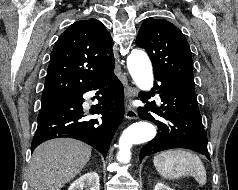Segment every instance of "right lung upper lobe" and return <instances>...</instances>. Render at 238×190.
Wrapping results in <instances>:
<instances>
[{
  "label": "right lung upper lobe",
  "instance_id": "1",
  "mask_svg": "<svg viewBox=\"0 0 238 190\" xmlns=\"http://www.w3.org/2000/svg\"><path fill=\"white\" fill-rule=\"evenodd\" d=\"M113 40L104 25L82 20L57 40L47 69L42 103L67 100L87 85L113 73Z\"/></svg>",
  "mask_w": 238,
  "mask_h": 190
}]
</instances>
